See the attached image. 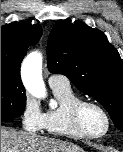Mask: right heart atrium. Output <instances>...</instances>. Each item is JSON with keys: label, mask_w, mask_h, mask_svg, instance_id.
<instances>
[{"label": "right heart atrium", "mask_w": 123, "mask_h": 152, "mask_svg": "<svg viewBox=\"0 0 123 152\" xmlns=\"http://www.w3.org/2000/svg\"><path fill=\"white\" fill-rule=\"evenodd\" d=\"M44 117L39 103L32 97H26L21 110V121L24 129L29 132L42 130Z\"/></svg>", "instance_id": "d8ad5b80"}]
</instances>
